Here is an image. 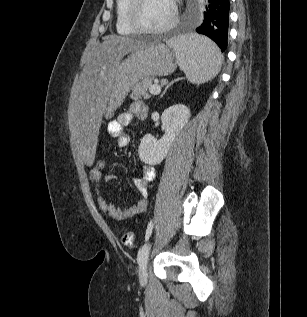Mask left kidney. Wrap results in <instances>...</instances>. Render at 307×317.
Here are the masks:
<instances>
[{"label":"left kidney","mask_w":307,"mask_h":317,"mask_svg":"<svg viewBox=\"0 0 307 317\" xmlns=\"http://www.w3.org/2000/svg\"><path fill=\"white\" fill-rule=\"evenodd\" d=\"M190 116V110L183 104H176L165 109L161 116L165 134L160 140H157L151 134H146L141 139L138 147L140 160L149 165L160 164Z\"/></svg>","instance_id":"obj_1"}]
</instances>
